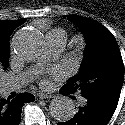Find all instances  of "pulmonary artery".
<instances>
[{
	"mask_svg": "<svg viewBox=\"0 0 125 125\" xmlns=\"http://www.w3.org/2000/svg\"><path fill=\"white\" fill-rule=\"evenodd\" d=\"M47 51L46 56L55 57L59 55L66 45V36L61 32H48L46 34ZM31 72H24L20 75L10 79L4 84L5 92H10L19 89L31 79ZM80 104L85 103L84 99H80Z\"/></svg>",
	"mask_w": 125,
	"mask_h": 125,
	"instance_id": "1",
	"label": "pulmonary artery"
}]
</instances>
